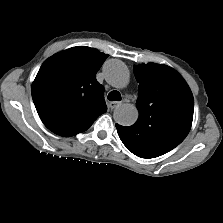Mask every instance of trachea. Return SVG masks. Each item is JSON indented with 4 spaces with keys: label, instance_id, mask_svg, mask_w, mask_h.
Here are the masks:
<instances>
[{
    "label": "trachea",
    "instance_id": "1",
    "mask_svg": "<svg viewBox=\"0 0 223 223\" xmlns=\"http://www.w3.org/2000/svg\"><path fill=\"white\" fill-rule=\"evenodd\" d=\"M107 98L110 101H121V94L118 91L113 90L108 94Z\"/></svg>",
    "mask_w": 223,
    "mask_h": 223
}]
</instances>
